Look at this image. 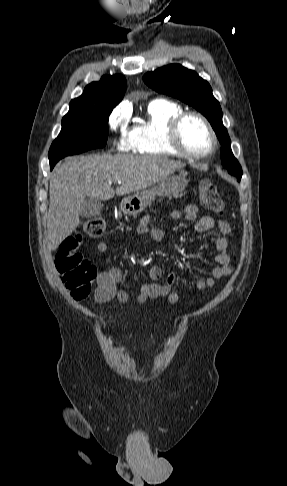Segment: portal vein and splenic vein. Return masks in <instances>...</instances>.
I'll return each mask as SVG.
<instances>
[{
    "label": "portal vein and splenic vein",
    "instance_id": "18ae733b",
    "mask_svg": "<svg viewBox=\"0 0 287 486\" xmlns=\"http://www.w3.org/2000/svg\"><path fill=\"white\" fill-rule=\"evenodd\" d=\"M118 184H121V181H118Z\"/></svg>",
    "mask_w": 287,
    "mask_h": 486
}]
</instances>
